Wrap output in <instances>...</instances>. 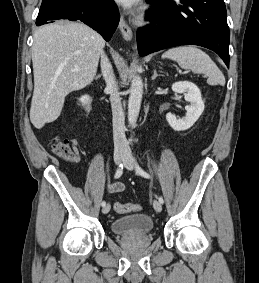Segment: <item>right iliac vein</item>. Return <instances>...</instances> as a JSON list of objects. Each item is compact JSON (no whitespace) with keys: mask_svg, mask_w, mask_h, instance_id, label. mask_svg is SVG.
<instances>
[{"mask_svg":"<svg viewBox=\"0 0 259 283\" xmlns=\"http://www.w3.org/2000/svg\"><path fill=\"white\" fill-rule=\"evenodd\" d=\"M124 154L122 152H115L114 153V161L116 164H120V162L123 160ZM110 211V204H107L103 207L102 212L103 214H107Z\"/></svg>","mask_w":259,"mask_h":283,"instance_id":"right-iliac-vein-1","label":"right iliac vein"}]
</instances>
